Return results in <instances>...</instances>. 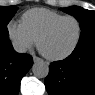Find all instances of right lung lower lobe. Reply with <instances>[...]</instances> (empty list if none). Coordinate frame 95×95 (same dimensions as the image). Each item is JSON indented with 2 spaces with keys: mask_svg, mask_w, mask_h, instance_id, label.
Wrapping results in <instances>:
<instances>
[{
  "mask_svg": "<svg viewBox=\"0 0 95 95\" xmlns=\"http://www.w3.org/2000/svg\"><path fill=\"white\" fill-rule=\"evenodd\" d=\"M32 64L30 55L17 53L9 38H0V95H17L20 81Z\"/></svg>",
  "mask_w": 95,
  "mask_h": 95,
  "instance_id": "right-lung-lower-lobe-1",
  "label": "right lung lower lobe"
}]
</instances>
